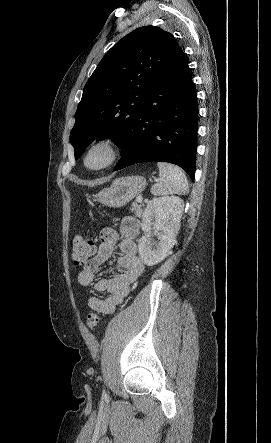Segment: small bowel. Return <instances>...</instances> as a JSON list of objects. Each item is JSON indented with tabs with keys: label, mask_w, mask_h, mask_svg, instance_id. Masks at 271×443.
<instances>
[{
	"label": "small bowel",
	"mask_w": 271,
	"mask_h": 443,
	"mask_svg": "<svg viewBox=\"0 0 271 443\" xmlns=\"http://www.w3.org/2000/svg\"><path fill=\"white\" fill-rule=\"evenodd\" d=\"M139 231V222L134 218H126L118 231L111 227L104 228L100 233L101 243L91 258L78 273V282L82 286L94 284V290L106 293L105 297L93 296L88 300V307L101 314H112L116 307L129 293L131 284L143 272L144 265L137 254L135 238ZM119 257L114 269L94 283L101 267L108 262L115 251Z\"/></svg>",
	"instance_id": "small-bowel-1"
}]
</instances>
